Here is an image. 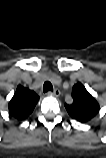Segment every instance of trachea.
<instances>
[{
  "instance_id": "trachea-1",
  "label": "trachea",
  "mask_w": 106,
  "mask_h": 158,
  "mask_svg": "<svg viewBox=\"0 0 106 158\" xmlns=\"http://www.w3.org/2000/svg\"><path fill=\"white\" fill-rule=\"evenodd\" d=\"M53 91V86L49 81H46L43 85V92Z\"/></svg>"
}]
</instances>
